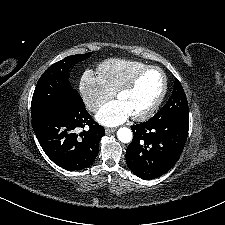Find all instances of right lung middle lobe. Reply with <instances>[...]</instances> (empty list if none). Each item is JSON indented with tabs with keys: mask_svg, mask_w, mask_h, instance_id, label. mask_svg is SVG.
Listing matches in <instances>:
<instances>
[{
	"mask_svg": "<svg viewBox=\"0 0 225 225\" xmlns=\"http://www.w3.org/2000/svg\"><path fill=\"white\" fill-rule=\"evenodd\" d=\"M92 53L72 55L52 64L37 82L32 102L31 117L69 99L80 101L81 96L69 81L70 68L89 58Z\"/></svg>",
	"mask_w": 225,
	"mask_h": 225,
	"instance_id": "right-lung-middle-lobe-1",
	"label": "right lung middle lobe"
}]
</instances>
